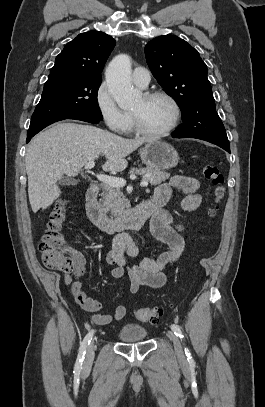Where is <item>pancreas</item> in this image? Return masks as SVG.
Masks as SVG:
<instances>
[{
	"mask_svg": "<svg viewBox=\"0 0 265 407\" xmlns=\"http://www.w3.org/2000/svg\"><path fill=\"white\" fill-rule=\"evenodd\" d=\"M130 174L143 175V180H147L151 185H157L169 178L170 174L157 169L132 168ZM101 203L103 208L114 217H119L130 207L128 199L124 196L119 187L108 184L102 186Z\"/></svg>",
	"mask_w": 265,
	"mask_h": 407,
	"instance_id": "pancreas-1",
	"label": "pancreas"
}]
</instances>
